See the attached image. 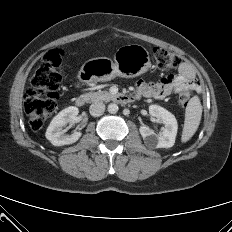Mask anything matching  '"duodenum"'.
I'll use <instances>...</instances> for the list:
<instances>
[{"mask_svg":"<svg viewBox=\"0 0 232 232\" xmlns=\"http://www.w3.org/2000/svg\"><path fill=\"white\" fill-rule=\"evenodd\" d=\"M139 98L138 95H115L114 100L117 103L120 104H129L134 102L135 100H137ZM88 97L86 95H79L76 98V106L77 107H83L85 105V103L87 102Z\"/></svg>","mask_w":232,"mask_h":232,"instance_id":"410a0bca","label":"duodenum"}]
</instances>
